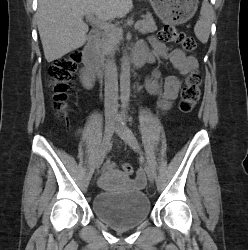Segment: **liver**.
<instances>
[{
	"label": "liver",
	"mask_w": 248,
	"mask_h": 250,
	"mask_svg": "<svg viewBox=\"0 0 248 250\" xmlns=\"http://www.w3.org/2000/svg\"><path fill=\"white\" fill-rule=\"evenodd\" d=\"M131 8L132 0H39L36 19L45 59H60L86 43L85 15L108 21L124 17Z\"/></svg>",
	"instance_id": "1"
}]
</instances>
